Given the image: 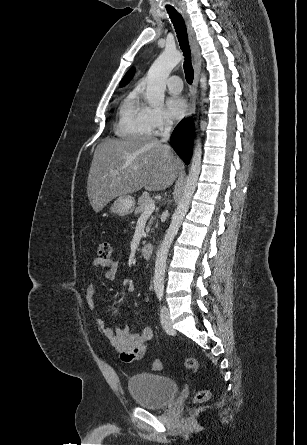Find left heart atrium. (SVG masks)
<instances>
[{"mask_svg":"<svg viewBox=\"0 0 307 445\" xmlns=\"http://www.w3.org/2000/svg\"><path fill=\"white\" fill-rule=\"evenodd\" d=\"M167 114L173 119H179L186 113L187 104L183 97L169 93L164 99Z\"/></svg>","mask_w":307,"mask_h":445,"instance_id":"39dd6f15","label":"left heart atrium"}]
</instances>
